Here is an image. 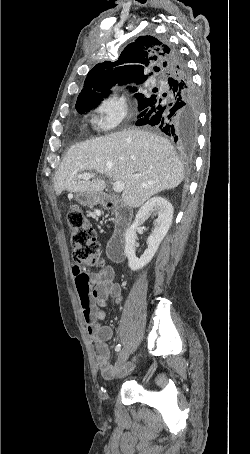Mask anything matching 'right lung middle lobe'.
<instances>
[{"mask_svg": "<svg viewBox=\"0 0 250 454\" xmlns=\"http://www.w3.org/2000/svg\"><path fill=\"white\" fill-rule=\"evenodd\" d=\"M133 91H136L134 88L132 89ZM155 97V95H152L151 97H145L143 94H136V98L138 99V108L144 105L146 102H148L150 99ZM100 101L97 102H81L76 104V109L80 113L88 112L92 108H94L96 105H98Z\"/></svg>", "mask_w": 250, "mask_h": 454, "instance_id": "dd1d6c3e", "label": "right lung middle lobe"}]
</instances>
